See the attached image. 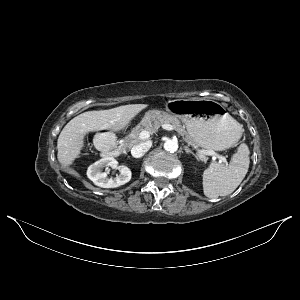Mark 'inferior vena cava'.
I'll return each instance as SVG.
<instances>
[{"label":"inferior vena cava","instance_id":"1","mask_svg":"<svg viewBox=\"0 0 300 300\" xmlns=\"http://www.w3.org/2000/svg\"><path fill=\"white\" fill-rule=\"evenodd\" d=\"M150 147H151L150 142L135 145L131 149V155L134 158H140L150 149Z\"/></svg>","mask_w":300,"mask_h":300}]
</instances>
